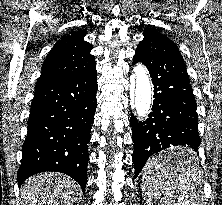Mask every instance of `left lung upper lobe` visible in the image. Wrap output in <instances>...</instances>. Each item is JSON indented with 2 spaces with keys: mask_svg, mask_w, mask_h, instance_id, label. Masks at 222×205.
I'll return each mask as SVG.
<instances>
[{
  "mask_svg": "<svg viewBox=\"0 0 222 205\" xmlns=\"http://www.w3.org/2000/svg\"><path fill=\"white\" fill-rule=\"evenodd\" d=\"M154 33H159V32H157V31L154 30V29H147V30L144 31V35L154 34Z\"/></svg>",
  "mask_w": 222,
  "mask_h": 205,
  "instance_id": "obj_1",
  "label": "left lung upper lobe"
}]
</instances>
